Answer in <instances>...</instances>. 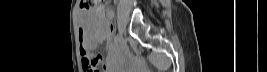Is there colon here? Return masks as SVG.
Listing matches in <instances>:
<instances>
[{"label":"colon","mask_w":267,"mask_h":72,"mask_svg":"<svg viewBox=\"0 0 267 72\" xmlns=\"http://www.w3.org/2000/svg\"><path fill=\"white\" fill-rule=\"evenodd\" d=\"M82 6L93 13L100 25L101 30H108L110 28V23L104 17L105 7L104 1L102 0H82ZM84 48H81V50ZM101 59L99 56H95L93 54H88L87 57V65L85 66V70L87 72H99V64Z\"/></svg>","instance_id":"5ec220e1"}]
</instances>
